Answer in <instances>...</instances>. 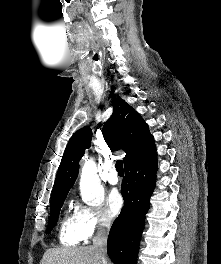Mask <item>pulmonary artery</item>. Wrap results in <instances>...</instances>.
I'll use <instances>...</instances> for the list:
<instances>
[{
	"label": "pulmonary artery",
	"instance_id": "obj_1",
	"mask_svg": "<svg viewBox=\"0 0 221 264\" xmlns=\"http://www.w3.org/2000/svg\"><path fill=\"white\" fill-rule=\"evenodd\" d=\"M107 179L110 184L115 185L118 183L119 177L114 166L110 168Z\"/></svg>",
	"mask_w": 221,
	"mask_h": 264
}]
</instances>
